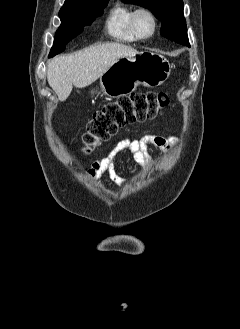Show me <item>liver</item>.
I'll list each match as a JSON object with an SVG mask.
<instances>
[{"label": "liver", "mask_w": 240, "mask_h": 329, "mask_svg": "<svg viewBox=\"0 0 240 329\" xmlns=\"http://www.w3.org/2000/svg\"><path fill=\"white\" fill-rule=\"evenodd\" d=\"M138 53L136 49L121 43H104L75 54L58 56L48 64L47 80L58 99L65 101L73 86L84 88L90 85L118 59Z\"/></svg>", "instance_id": "6515ba94"}]
</instances>
